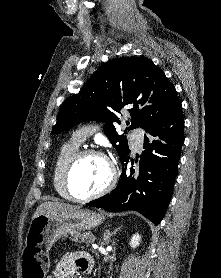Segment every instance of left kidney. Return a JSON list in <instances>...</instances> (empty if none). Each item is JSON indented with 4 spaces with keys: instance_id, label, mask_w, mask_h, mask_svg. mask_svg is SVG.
<instances>
[{
    "instance_id": "left-kidney-1",
    "label": "left kidney",
    "mask_w": 221,
    "mask_h": 278,
    "mask_svg": "<svg viewBox=\"0 0 221 278\" xmlns=\"http://www.w3.org/2000/svg\"><path fill=\"white\" fill-rule=\"evenodd\" d=\"M140 235L138 233L134 234L131 238V241H130V246L134 249L136 248L137 246H139V243H140Z\"/></svg>"
}]
</instances>
